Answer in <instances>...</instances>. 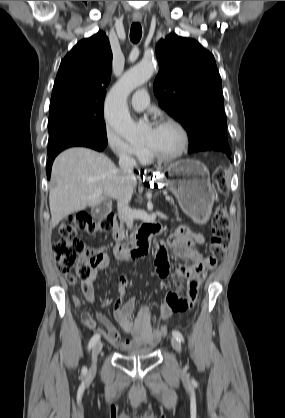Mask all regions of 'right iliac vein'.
<instances>
[{
    "label": "right iliac vein",
    "instance_id": "right-iliac-vein-1",
    "mask_svg": "<svg viewBox=\"0 0 285 418\" xmlns=\"http://www.w3.org/2000/svg\"><path fill=\"white\" fill-rule=\"evenodd\" d=\"M101 350H102V343L97 342L92 349V364L88 372L89 374H91L95 370L97 357L100 354Z\"/></svg>",
    "mask_w": 285,
    "mask_h": 418
}]
</instances>
